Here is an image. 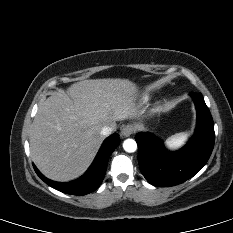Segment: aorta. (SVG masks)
<instances>
[{
  "label": "aorta",
  "mask_w": 233,
  "mask_h": 233,
  "mask_svg": "<svg viewBox=\"0 0 233 233\" xmlns=\"http://www.w3.org/2000/svg\"><path fill=\"white\" fill-rule=\"evenodd\" d=\"M123 148L126 152L132 153L137 150V143L133 139H126L123 142Z\"/></svg>",
  "instance_id": "762f6f07"
}]
</instances>
